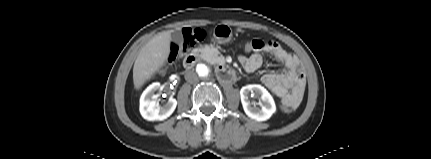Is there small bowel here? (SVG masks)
Instances as JSON below:
<instances>
[{
  "label": "small bowel",
  "instance_id": "obj_1",
  "mask_svg": "<svg viewBox=\"0 0 431 159\" xmlns=\"http://www.w3.org/2000/svg\"><path fill=\"white\" fill-rule=\"evenodd\" d=\"M249 56L242 55L239 62L247 72H254L263 63V53L272 55L283 64L284 70L270 72L263 76V84L287 107L294 111L300 104L305 90V75L299 67L298 59L274 41L254 39Z\"/></svg>",
  "mask_w": 431,
  "mask_h": 159
}]
</instances>
